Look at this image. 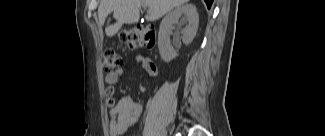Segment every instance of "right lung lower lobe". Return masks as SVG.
<instances>
[{"label":"right lung lower lobe","mask_w":325,"mask_h":136,"mask_svg":"<svg viewBox=\"0 0 325 136\" xmlns=\"http://www.w3.org/2000/svg\"><path fill=\"white\" fill-rule=\"evenodd\" d=\"M207 4L208 9L211 7L213 0H204Z\"/></svg>","instance_id":"1"}]
</instances>
